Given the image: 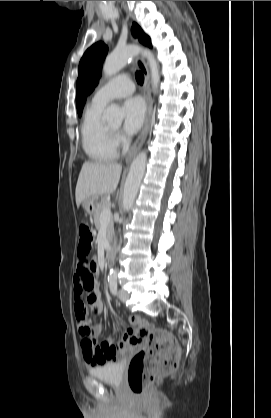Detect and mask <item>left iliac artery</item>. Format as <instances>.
<instances>
[{"instance_id":"obj_1","label":"left iliac artery","mask_w":271,"mask_h":418,"mask_svg":"<svg viewBox=\"0 0 271 418\" xmlns=\"http://www.w3.org/2000/svg\"><path fill=\"white\" fill-rule=\"evenodd\" d=\"M109 287L110 291L113 295L117 294V281L116 280H110L109 281Z\"/></svg>"}]
</instances>
